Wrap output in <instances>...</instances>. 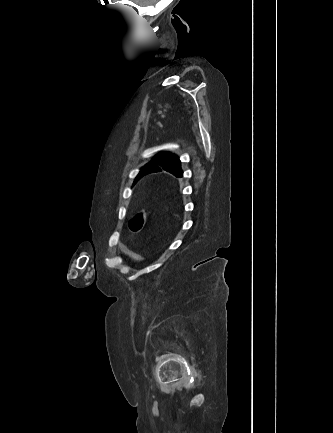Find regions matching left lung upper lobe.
<instances>
[{
	"label": "left lung upper lobe",
	"mask_w": 333,
	"mask_h": 433,
	"mask_svg": "<svg viewBox=\"0 0 333 433\" xmlns=\"http://www.w3.org/2000/svg\"><path fill=\"white\" fill-rule=\"evenodd\" d=\"M152 168L151 171H146L145 173H152V172H160L162 170H166L176 177H182L183 172L180 167V160L178 157L173 156L169 153H161L158 154L156 158H154L152 161H150L148 164H146L138 174H142L146 169Z\"/></svg>",
	"instance_id": "obj_1"
}]
</instances>
